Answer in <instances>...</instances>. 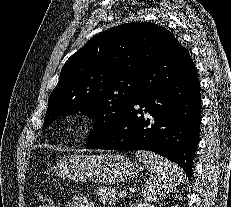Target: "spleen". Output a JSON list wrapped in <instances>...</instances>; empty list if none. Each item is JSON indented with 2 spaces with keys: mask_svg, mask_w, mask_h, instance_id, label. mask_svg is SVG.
<instances>
[{
  "mask_svg": "<svg viewBox=\"0 0 231 207\" xmlns=\"http://www.w3.org/2000/svg\"><path fill=\"white\" fill-rule=\"evenodd\" d=\"M135 155L151 173L142 190L145 200L156 202L183 181V170L169 160L147 151H137Z\"/></svg>",
  "mask_w": 231,
  "mask_h": 207,
  "instance_id": "spleen-1",
  "label": "spleen"
}]
</instances>
